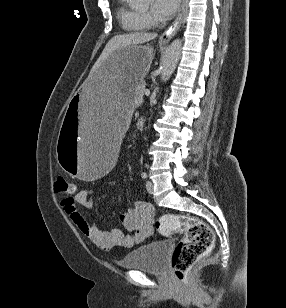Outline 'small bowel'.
<instances>
[{"mask_svg":"<svg viewBox=\"0 0 286 308\" xmlns=\"http://www.w3.org/2000/svg\"><path fill=\"white\" fill-rule=\"evenodd\" d=\"M92 196L93 190L81 189L73 197L64 198L61 205L81 233L96 247L104 251L130 248L151 232L154 209L151 204L139 200L133 201L131 206L119 215V221L128 234L119 228H98L78 209V206L89 209L92 205Z\"/></svg>","mask_w":286,"mask_h":308,"instance_id":"obj_1","label":"small bowel"}]
</instances>
